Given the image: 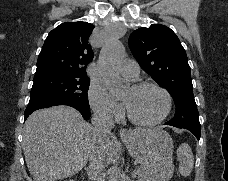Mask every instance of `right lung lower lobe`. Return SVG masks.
<instances>
[{"instance_id":"1","label":"right lung lower lobe","mask_w":228,"mask_h":181,"mask_svg":"<svg viewBox=\"0 0 228 181\" xmlns=\"http://www.w3.org/2000/svg\"><path fill=\"white\" fill-rule=\"evenodd\" d=\"M56 105H68V106H71V107L77 109L82 114V116L85 120H88L90 117V114H91L90 110H84L82 108L76 107V106H74L70 103H66V102H60V101L42 102V103H37V104H29L25 110V119L24 120H26L27 117L37 109L56 106Z\"/></svg>"}]
</instances>
